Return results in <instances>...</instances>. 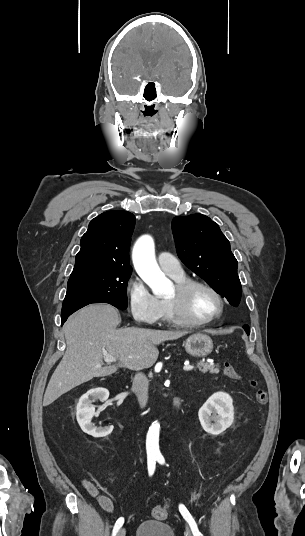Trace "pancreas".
Wrapping results in <instances>:
<instances>
[{"label":"pancreas","mask_w":305,"mask_h":536,"mask_svg":"<svg viewBox=\"0 0 305 536\" xmlns=\"http://www.w3.org/2000/svg\"><path fill=\"white\" fill-rule=\"evenodd\" d=\"M198 368L203 374H207V372H209V374H219L220 372V366H218V364L217 366H214V364H209V362H200Z\"/></svg>","instance_id":"1"}]
</instances>
